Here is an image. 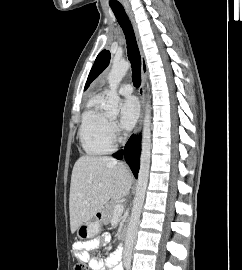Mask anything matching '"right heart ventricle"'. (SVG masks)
<instances>
[{"instance_id":"1","label":"right heart ventricle","mask_w":242,"mask_h":270,"mask_svg":"<svg viewBox=\"0 0 242 270\" xmlns=\"http://www.w3.org/2000/svg\"><path fill=\"white\" fill-rule=\"evenodd\" d=\"M102 97L94 96L82 114L79 128L80 144L88 155H102L113 150L109 116L101 110Z\"/></svg>"}]
</instances>
